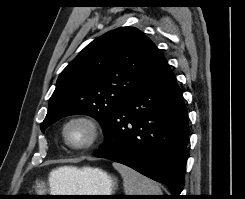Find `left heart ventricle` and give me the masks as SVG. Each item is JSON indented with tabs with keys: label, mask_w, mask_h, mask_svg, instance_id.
<instances>
[{
	"label": "left heart ventricle",
	"mask_w": 245,
	"mask_h": 199,
	"mask_svg": "<svg viewBox=\"0 0 245 199\" xmlns=\"http://www.w3.org/2000/svg\"><path fill=\"white\" fill-rule=\"evenodd\" d=\"M69 141L74 145L85 144L90 138L89 127L82 122H74L67 129Z\"/></svg>",
	"instance_id": "obj_1"
}]
</instances>
